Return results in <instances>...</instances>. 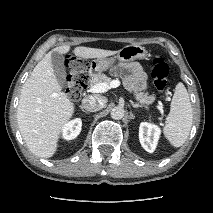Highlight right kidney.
<instances>
[{"label":"right kidney","instance_id":"obj_1","mask_svg":"<svg viewBox=\"0 0 213 213\" xmlns=\"http://www.w3.org/2000/svg\"><path fill=\"white\" fill-rule=\"evenodd\" d=\"M82 121L80 118L73 119L65 124L62 130L63 138L72 140L76 138L81 132Z\"/></svg>","mask_w":213,"mask_h":213}]
</instances>
